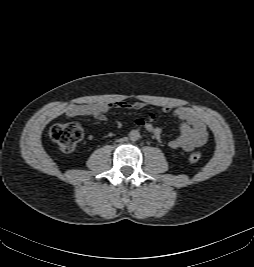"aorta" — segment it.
I'll return each instance as SVG.
<instances>
[{"label":"aorta","mask_w":254,"mask_h":267,"mask_svg":"<svg viewBox=\"0 0 254 267\" xmlns=\"http://www.w3.org/2000/svg\"><path fill=\"white\" fill-rule=\"evenodd\" d=\"M129 138L131 141H137L140 139V133L138 132V130H132L129 133Z\"/></svg>","instance_id":"obj_1"}]
</instances>
